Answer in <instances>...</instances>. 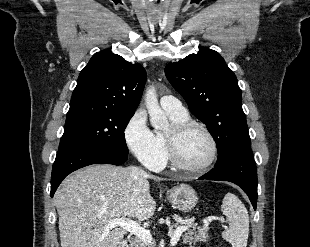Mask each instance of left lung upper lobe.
Here are the masks:
<instances>
[{
  "label": "left lung upper lobe",
  "mask_w": 310,
  "mask_h": 247,
  "mask_svg": "<svg viewBox=\"0 0 310 247\" xmlns=\"http://www.w3.org/2000/svg\"><path fill=\"white\" fill-rule=\"evenodd\" d=\"M165 74L191 113L208 127L218 149L216 163L251 149L241 89L218 52L203 47L197 54L169 63Z\"/></svg>",
  "instance_id": "1"
}]
</instances>
